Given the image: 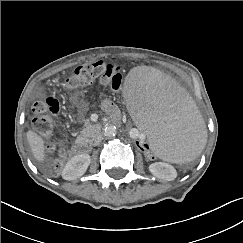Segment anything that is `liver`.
Masks as SVG:
<instances>
[{
    "mask_svg": "<svg viewBox=\"0 0 243 243\" xmlns=\"http://www.w3.org/2000/svg\"><path fill=\"white\" fill-rule=\"evenodd\" d=\"M26 137L34 158L38 162H43L45 159V141L43 138L32 130L27 131Z\"/></svg>",
    "mask_w": 243,
    "mask_h": 243,
    "instance_id": "1",
    "label": "liver"
}]
</instances>
